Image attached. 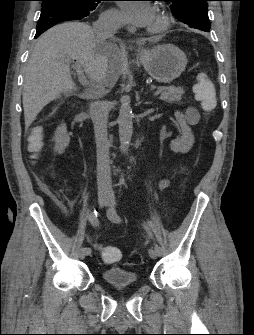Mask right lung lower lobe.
<instances>
[{
	"instance_id": "obj_1",
	"label": "right lung lower lobe",
	"mask_w": 254,
	"mask_h": 335,
	"mask_svg": "<svg viewBox=\"0 0 254 335\" xmlns=\"http://www.w3.org/2000/svg\"><path fill=\"white\" fill-rule=\"evenodd\" d=\"M91 11L79 10L68 4H50L43 6L37 23L35 38L57 23L70 20H80L90 14Z\"/></svg>"
}]
</instances>
